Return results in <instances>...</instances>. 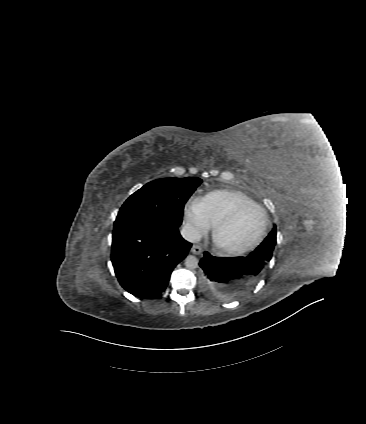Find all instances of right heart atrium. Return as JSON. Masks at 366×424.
Returning a JSON list of instances; mask_svg holds the SVG:
<instances>
[{
    "label": "right heart atrium",
    "mask_w": 366,
    "mask_h": 424,
    "mask_svg": "<svg viewBox=\"0 0 366 424\" xmlns=\"http://www.w3.org/2000/svg\"><path fill=\"white\" fill-rule=\"evenodd\" d=\"M186 228L193 238H199L206 234L210 228V223L204 213L201 198L191 199L184 210Z\"/></svg>",
    "instance_id": "1"
}]
</instances>
